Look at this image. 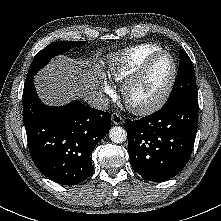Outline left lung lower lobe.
Listing matches in <instances>:
<instances>
[{"instance_id": "left-lung-lower-lobe-1", "label": "left lung lower lobe", "mask_w": 221, "mask_h": 221, "mask_svg": "<svg viewBox=\"0 0 221 221\" xmlns=\"http://www.w3.org/2000/svg\"><path fill=\"white\" fill-rule=\"evenodd\" d=\"M197 97H184L139 120L125 121L132 168L162 182L187 164L197 131Z\"/></svg>"}]
</instances>
